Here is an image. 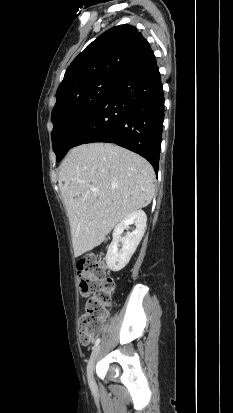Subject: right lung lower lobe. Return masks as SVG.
<instances>
[{
  "instance_id": "obj_1",
  "label": "right lung lower lobe",
  "mask_w": 233,
  "mask_h": 413,
  "mask_svg": "<svg viewBox=\"0 0 233 413\" xmlns=\"http://www.w3.org/2000/svg\"><path fill=\"white\" fill-rule=\"evenodd\" d=\"M164 94L152 50L120 75L73 144L115 143L140 154L158 173Z\"/></svg>"
}]
</instances>
